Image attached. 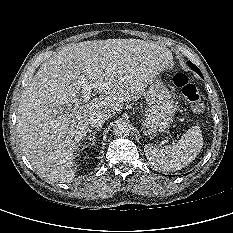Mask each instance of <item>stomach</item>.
<instances>
[{
    "label": "stomach",
    "instance_id": "stomach-1",
    "mask_svg": "<svg viewBox=\"0 0 233 233\" xmlns=\"http://www.w3.org/2000/svg\"><path fill=\"white\" fill-rule=\"evenodd\" d=\"M146 109L143 128L147 135L167 131L174 119L176 110L172 94L159 79H154L146 92Z\"/></svg>",
    "mask_w": 233,
    "mask_h": 233
}]
</instances>
